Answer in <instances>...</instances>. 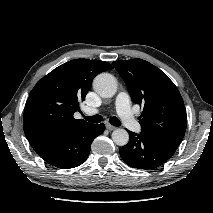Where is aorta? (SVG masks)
Segmentation results:
<instances>
[{"instance_id": "762f6f07", "label": "aorta", "mask_w": 213, "mask_h": 213, "mask_svg": "<svg viewBox=\"0 0 213 213\" xmlns=\"http://www.w3.org/2000/svg\"><path fill=\"white\" fill-rule=\"evenodd\" d=\"M94 90L104 98H110L117 91V81L109 73L97 75L93 81ZM112 140L118 146H124L129 141V134L125 129H116L112 132Z\"/></svg>"}]
</instances>
